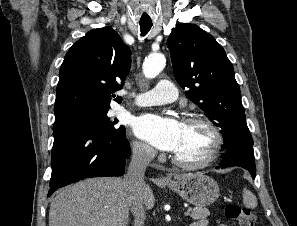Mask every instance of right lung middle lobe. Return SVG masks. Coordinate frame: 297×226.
<instances>
[{
    "mask_svg": "<svg viewBox=\"0 0 297 226\" xmlns=\"http://www.w3.org/2000/svg\"><path fill=\"white\" fill-rule=\"evenodd\" d=\"M108 110H89L79 112L73 115H70L64 119L56 121L55 123L61 122H72L81 125L88 126L98 132L105 133L113 136H122L125 134V128L123 126L116 127L115 124L118 123V120L110 121V118L107 116Z\"/></svg>",
    "mask_w": 297,
    "mask_h": 226,
    "instance_id": "1",
    "label": "right lung middle lobe"
}]
</instances>
